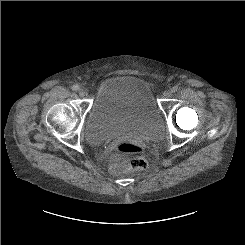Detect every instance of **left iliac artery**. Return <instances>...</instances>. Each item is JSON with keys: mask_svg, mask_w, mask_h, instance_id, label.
Segmentation results:
<instances>
[{"mask_svg": "<svg viewBox=\"0 0 245 245\" xmlns=\"http://www.w3.org/2000/svg\"><path fill=\"white\" fill-rule=\"evenodd\" d=\"M178 90H179L178 86H174V87L172 88V91H173V92H177Z\"/></svg>", "mask_w": 245, "mask_h": 245, "instance_id": "44dca946", "label": "left iliac artery"}]
</instances>
